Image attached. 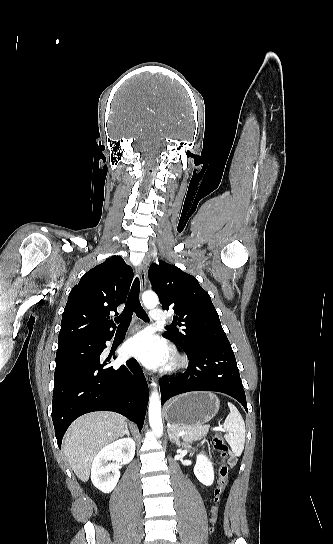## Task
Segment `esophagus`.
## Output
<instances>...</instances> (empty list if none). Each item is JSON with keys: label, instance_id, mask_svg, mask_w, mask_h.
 Wrapping results in <instances>:
<instances>
[{"label": "esophagus", "instance_id": "1", "mask_svg": "<svg viewBox=\"0 0 333 544\" xmlns=\"http://www.w3.org/2000/svg\"><path fill=\"white\" fill-rule=\"evenodd\" d=\"M138 275L140 278V287L142 291L143 289H145L146 283H147V263L146 262H144L139 267ZM145 377L150 388H155L157 386L156 379L151 374L145 372Z\"/></svg>", "mask_w": 333, "mask_h": 544}]
</instances>
